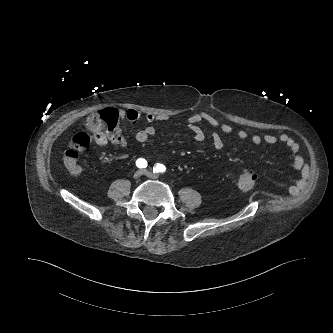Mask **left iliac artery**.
I'll use <instances>...</instances> for the list:
<instances>
[{"mask_svg":"<svg viewBox=\"0 0 333 333\" xmlns=\"http://www.w3.org/2000/svg\"><path fill=\"white\" fill-rule=\"evenodd\" d=\"M165 171H166V167L160 163H157L153 168V173H163Z\"/></svg>","mask_w":333,"mask_h":333,"instance_id":"44dca946","label":"left iliac artery"}]
</instances>
